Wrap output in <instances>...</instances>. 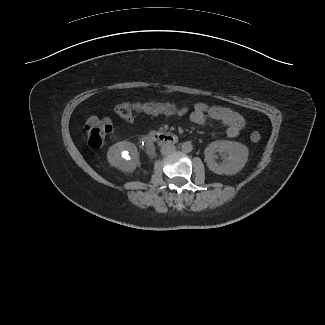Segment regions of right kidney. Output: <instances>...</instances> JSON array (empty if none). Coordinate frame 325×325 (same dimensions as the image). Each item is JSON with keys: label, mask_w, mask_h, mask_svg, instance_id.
I'll use <instances>...</instances> for the list:
<instances>
[{"label": "right kidney", "mask_w": 325, "mask_h": 325, "mask_svg": "<svg viewBox=\"0 0 325 325\" xmlns=\"http://www.w3.org/2000/svg\"><path fill=\"white\" fill-rule=\"evenodd\" d=\"M108 162L123 172H132L139 164L138 150L128 141L117 142L107 152Z\"/></svg>", "instance_id": "right-kidney-1"}]
</instances>
